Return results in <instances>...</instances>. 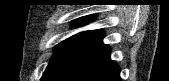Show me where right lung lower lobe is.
I'll list each match as a JSON object with an SVG mask.
<instances>
[{"label": "right lung lower lobe", "mask_w": 169, "mask_h": 81, "mask_svg": "<svg viewBox=\"0 0 169 81\" xmlns=\"http://www.w3.org/2000/svg\"><path fill=\"white\" fill-rule=\"evenodd\" d=\"M100 30L67 39L54 53L42 81H121L120 68L109 56Z\"/></svg>", "instance_id": "98d812e1"}]
</instances>
